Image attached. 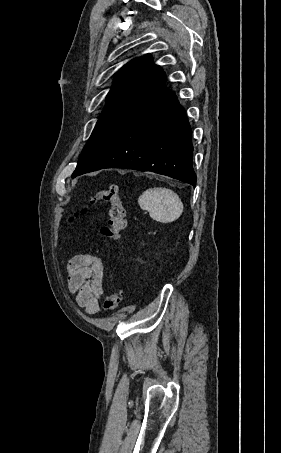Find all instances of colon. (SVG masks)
<instances>
[{"mask_svg": "<svg viewBox=\"0 0 281 453\" xmlns=\"http://www.w3.org/2000/svg\"><path fill=\"white\" fill-rule=\"evenodd\" d=\"M97 202L108 205L110 212L106 225L100 229L101 235L110 242L117 243L120 234L128 226V219L125 211V200L122 187L119 183H111L98 189L96 194L87 201L88 206H93ZM86 216L85 209L75 212L70 217L71 224L81 223ZM123 299L122 292L115 290L103 301L102 309L105 312H112L117 309Z\"/></svg>", "mask_w": 281, "mask_h": 453, "instance_id": "5ec220e1", "label": "colon"}]
</instances>
